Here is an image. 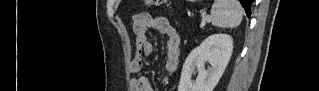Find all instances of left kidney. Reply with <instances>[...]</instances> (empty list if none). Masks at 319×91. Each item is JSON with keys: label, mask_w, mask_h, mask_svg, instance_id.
Here are the masks:
<instances>
[{"label": "left kidney", "mask_w": 319, "mask_h": 91, "mask_svg": "<svg viewBox=\"0 0 319 91\" xmlns=\"http://www.w3.org/2000/svg\"><path fill=\"white\" fill-rule=\"evenodd\" d=\"M233 51V39L227 34L208 36L193 49L182 68L178 91H213L218 84L230 60ZM208 62L210 67L205 69ZM195 69L198 76L192 81Z\"/></svg>", "instance_id": "left-kidney-1"}]
</instances>
